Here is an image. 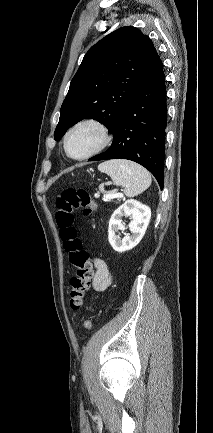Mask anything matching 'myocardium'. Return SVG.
<instances>
[{
	"label": "myocardium",
	"instance_id": "1",
	"mask_svg": "<svg viewBox=\"0 0 213 433\" xmlns=\"http://www.w3.org/2000/svg\"><path fill=\"white\" fill-rule=\"evenodd\" d=\"M84 126H92V127L96 128L101 135V140H100L99 144L92 151H90L89 153H87L83 156L76 157V156H73L69 151V147H68L69 138L74 131H76L77 129L84 127ZM110 142H111V135L109 133L108 128L97 119L86 118V119L80 120L77 123H75L67 131L65 138H64V150H65L66 154L68 155V157H70L71 159L80 161V160L88 159V158L93 157L96 154L100 153L109 145Z\"/></svg>",
	"mask_w": 213,
	"mask_h": 433
}]
</instances>
